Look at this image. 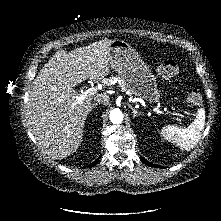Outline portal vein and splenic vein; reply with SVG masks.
<instances>
[{"mask_svg": "<svg viewBox=\"0 0 221 221\" xmlns=\"http://www.w3.org/2000/svg\"><path fill=\"white\" fill-rule=\"evenodd\" d=\"M98 89L95 87H91L89 89H87L86 91H82V93L76 97V101L78 103L82 102L85 98H87L88 96H93L97 93ZM164 113V112H163ZM165 113H170L169 111H165Z\"/></svg>", "mask_w": 221, "mask_h": 221, "instance_id": "obj_1", "label": "portal vein and splenic vein"}]
</instances>
